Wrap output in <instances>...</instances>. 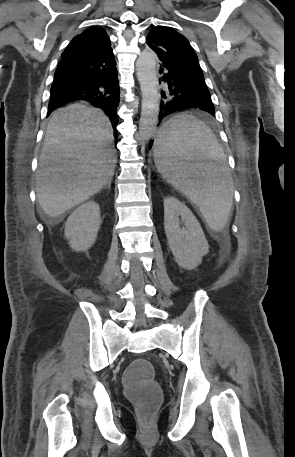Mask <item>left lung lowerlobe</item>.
I'll list each match as a JSON object with an SVG mask.
<instances>
[{
    "instance_id": "1",
    "label": "left lung lower lobe",
    "mask_w": 295,
    "mask_h": 457,
    "mask_svg": "<svg viewBox=\"0 0 295 457\" xmlns=\"http://www.w3.org/2000/svg\"><path fill=\"white\" fill-rule=\"evenodd\" d=\"M158 55L159 72L168 84V90L161 94L159 120L175 111L197 108L215 116V108L204 81L202 70L182 63L167 55L159 47L147 43ZM153 141L150 142V148Z\"/></svg>"
}]
</instances>
